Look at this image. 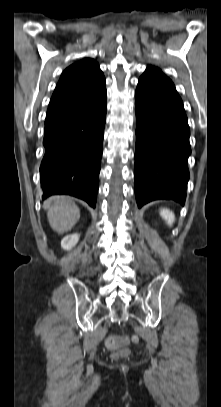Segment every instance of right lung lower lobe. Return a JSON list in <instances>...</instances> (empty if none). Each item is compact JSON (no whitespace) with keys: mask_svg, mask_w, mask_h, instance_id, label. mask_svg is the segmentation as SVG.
<instances>
[{"mask_svg":"<svg viewBox=\"0 0 221 407\" xmlns=\"http://www.w3.org/2000/svg\"><path fill=\"white\" fill-rule=\"evenodd\" d=\"M106 88L48 109L40 166L43 199L68 194L95 207L106 121Z\"/></svg>","mask_w":221,"mask_h":407,"instance_id":"right-lung-lower-lobe-1","label":"right lung lower lobe"}]
</instances>
